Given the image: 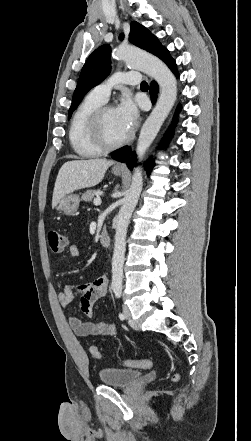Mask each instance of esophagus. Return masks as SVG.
Here are the masks:
<instances>
[{
    "label": "esophagus",
    "mask_w": 251,
    "mask_h": 441,
    "mask_svg": "<svg viewBox=\"0 0 251 441\" xmlns=\"http://www.w3.org/2000/svg\"><path fill=\"white\" fill-rule=\"evenodd\" d=\"M115 167L119 168V169H125L126 165L124 163H118V164L115 165Z\"/></svg>",
    "instance_id": "1"
}]
</instances>
